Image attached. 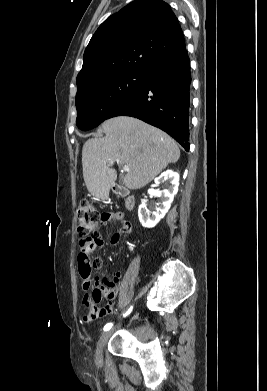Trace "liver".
I'll use <instances>...</instances> for the list:
<instances>
[{
    "mask_svg": "<svg viewBox=\"0 0 267 391\" xmlns=\"http://www.w3.org/2000/svg\"><path fill=\"white\" fill-rule=\"evenodd\" d=\"M101 129L105 137L87 140L82 149L83 178L97 199H107L117 179L109 160L129 167L123 183L136 190L180 157L176 142L168 134L136 118L114 117L103 122Z\"/></svg>",
    "mask_w": 267,
    "mask_h": 391,
    "instance_id": "liver-1",
    "label": "liver"
}]
</instances>
